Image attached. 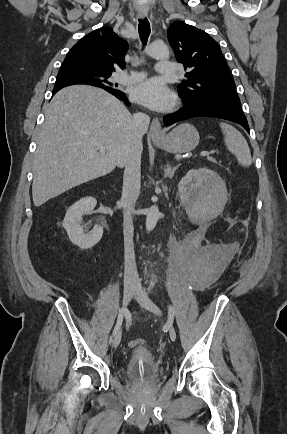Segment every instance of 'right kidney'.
<instances>
[{"label": "right kidney", "mask_w": 287, "mask_h": 434, "mask_svg": "<svg viewBox=\"0 0 287 434\" xmlns=\"http://www.w3.org/2000/svg\"><path fill=\"white\" fill-rule=\"evenodd\" d=\"M93 197H85L74 203L66 212L63 227L67 231L70 241L81 249L92 248L103 235V227L96 225L89 234H85L81 226L82 216L89 214L96 206Z\"/></svg>", "instance_id": "1"}]
</instances>
